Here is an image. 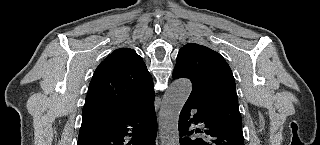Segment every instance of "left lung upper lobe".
Returning <instances> with one entry per match:
<instances>
[{
	"instance_id": "1",
	"label": "left lung upper lobe",
	"mask_w": 320,
	"mask_h": 145,
	"mask_svg": "<svg viewBox=\"0 0 320 145\" xmlns=\"http://www.w3.org/2000/svg\"><path fill=\"white\" fill-rule=\"evenodd\" d=\"M174 72L189 78L201 106L216 118L242 127L232 71L216 51L195 43L179 50Z\"/></svg>"
}]
</instances>
